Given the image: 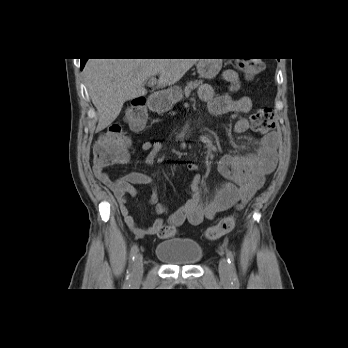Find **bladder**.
Returning a JSON list of instances; mask_svg holds the SVG:
<instances>
[{"mask_svg":"<svg viewBox=\"0 0 348 348\" xmlns=\"http://www.w3.org/2000/svg\"><path fill=\"white\" fill-rule=\"evenodd\" d=\"M155 256L170 266H193L203 256V250L195 241L170 240L159 243Z\"/></svg>","mask_w":348,"mask_h":348,"instance_id":"1","label":"bladder"}]
</instances>
